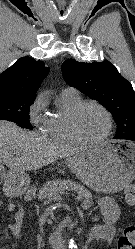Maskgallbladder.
<instances>
[{
	"label": "gallbladder",
	"mask_w": 135,
	"mask_h": 249,
	"mask_svg": "<svg viewBox=\"0 0 135 249\" xmlns=\"http://www.w3.org/2000/svg\"><path fill=\"white\" fill-rule=\"evenodd\" d=\"M4 171H5V169H4L3 165L0 163V180L2 179V177L4 175Z\"/></svg>",
	"instance_id": "obj_1"
}]
</instances>
